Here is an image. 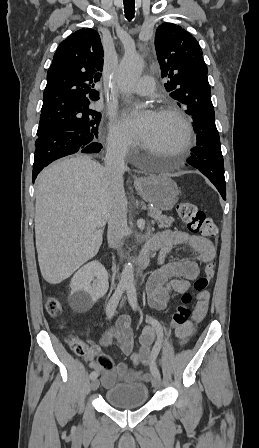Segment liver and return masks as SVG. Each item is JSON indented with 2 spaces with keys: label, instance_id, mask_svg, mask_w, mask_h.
<instances>
[{
  "label": "liver",
  "instance_id": "6515ba94",
  "mask_svg": "<svg viewBox=\"0 0 259 448\" xmlns=\"http://www.w3.org/2000/svg\"><path fill=\"white\" fill-rule=\"evenodd\" d=\"M115 184L90 156H68L35 180V238L40 272L49 284L70 278L92 260L113 210Z\"/></svg>",
  "mask_w": 259,
  "mask_h": 448
}]
</instances>
